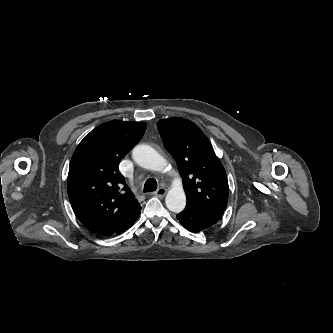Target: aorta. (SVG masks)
Listing matches in <instances>:
<instances>
[{
    "instance_id": "aorta-1",
    "label": "aorta",
    "mask_w": 333,
    "mask_h": 333,
    "mask_svg": "<svg viewBox=\"0 0 333 333\" xmlns=\"http://www.w3.org/2000/svg\"><path fill=\"white\" fill-rule=\"evenodd\" d=\"M132 156L139 166L148 170L162 171L167 166V161L148 145L136 146L132 151ZM165 203L167 208L175 213H179L185 208L186 196L180 179H177L168 191Z\"/></svg>"
}]
</instances>
